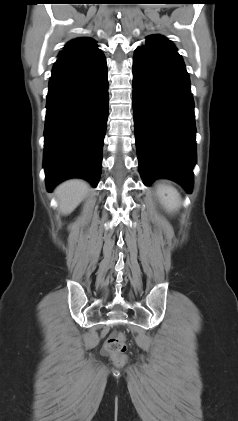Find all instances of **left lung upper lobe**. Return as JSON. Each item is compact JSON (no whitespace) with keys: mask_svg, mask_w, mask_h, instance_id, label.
Returning a JSON list of instances; mask_svg holds the SVG:
<instances>
[{"mask_svg":"<svg viewBox=\"0 0 238 421\" xmlns=\"http://www.w3.org/2000/svg\"><path fill=\"white\" fill-rule=\"evenodd\" d=\"M146 46H141V47H145L148 49H152V50H176V47L174 46V44L168 40L167 38H165L164 36L161 35H152L149 36L146 40Z\"/></svg>","mask_w":238,"mask_h":421,"instance_id":"obj_1","label":"left lung upper lobe"}]
</instances>
